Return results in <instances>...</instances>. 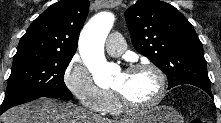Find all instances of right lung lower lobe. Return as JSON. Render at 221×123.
Masks as SVG:
<instances>
[{
	"mask_svg": "<svg viewBox=\"0 0 221 123\" xmlns=\"http://www.w3.org/2000/svg\"><path fill=\"white\" fill-rule=\"evenodd\" d=\"M45 97H50V98H59V97H57V96H55V95H47V96H45ZM4 111L3 110H1L0 111V114H2Z\"/></svg>",
	"mask_w": 221,
	"mask_h": 123,
	"instance_id": "right-lung-lower-lobe-1",
	"label": "right lung lower lobe"
}]
</instances>
